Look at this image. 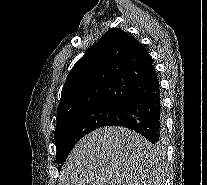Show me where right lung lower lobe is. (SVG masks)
Masks as SVG:
<instances>
[{"label":"right lung lower lobe","instance_id":"98d812e1","mask_svg":"<svg viewBox=\"0 0 207 185\" xmlns=\"http://www.w3.org/2000/svg\"><path fill=\"white\" fill-rule=\"evenodd\" d=\"M111 125L132 129L147 138L156 148H163L165 123L157 77L125 101L116 118L106 124Z\"/></svg>","mask_w":207,"mask_h":185}]
</instances>
